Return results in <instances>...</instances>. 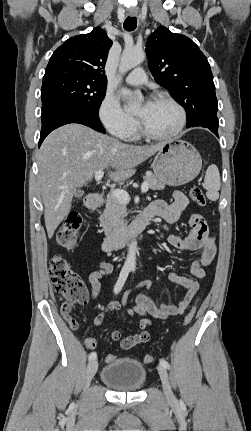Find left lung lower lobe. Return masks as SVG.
<instances>
[{
	"mask_svg": "<svg viewBox=\"0 0 251 431\" xmlns=\"http://www.w3.org/2000/svg\"><path fill=\"white\" fill-rule=\"evenodd\" d=\"M194 126H201L204 128H208L218 137V125H209L207 123H203V124H196L191 127H194Z\"/></svg>",
	"mask_w": 251,
	"mask_h": 431,
	"instance_id": "1",
	"label": "left lung lower lobe"
}]
</instances>
